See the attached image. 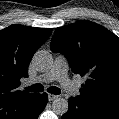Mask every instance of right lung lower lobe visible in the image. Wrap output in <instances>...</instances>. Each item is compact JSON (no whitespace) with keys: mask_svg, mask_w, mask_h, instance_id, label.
I'll return each instance as SVG.
<instances>
[{"mask_svg":"<svg viewBox=\"0 0 119 119\" xmlns=\"http://www.w3.org/2000/svg\"><path fill=\"white\" fill-rule=\"evenodd\" d=\"M47 101H48V96L46 93L39 94V99L34 109L30 112V114L26 119H38V116L45 108Z\"/></svg>","mask_w":119,"mask_h":119,"instance_id":"right-lung-lower-lobe-1","label":"right lung lower lobe"}]
</instances>
